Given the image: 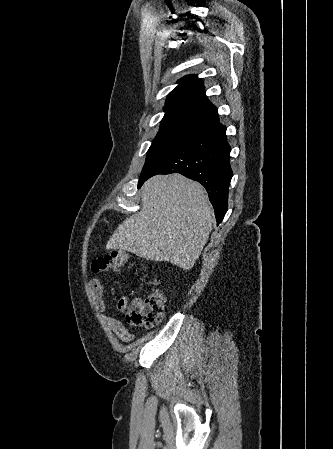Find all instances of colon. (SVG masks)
Here are the masks:
<instances>
[{
  "instance_id": "5ec220e1",
  "label": "colon",
  "mask_w": 333,
  "mask_h": 449,
  "mask_svg": "<svg viewBox=\"0 0 333 449\" xmlns=\"http://www.w3.org/2000/svg\"><path fill=\"white\" fill-rule=\"evenodd\" d=\"M128 261V255L113 252L92 261L91 269L95 273L119 271ZM166 297L164 292L155 288L143 299H138L127 311V321L134 326L155 327L165 312Z\"/></svg>"
}]
</instances>
